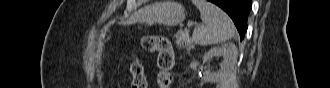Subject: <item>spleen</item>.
<instances>
[{
    "label": "spleen",
    "mask_w": 330,
    "mask_h": 88,
    "mask_svg": "<svg viewBox=\"0 0 330 88\" xmlns=\"http://www.w3.org/2000/svg\"><path fill=\"white\" fill-rule=\"evenodd\" d=\"M199 9L205 26L196 27L193 40L199 45H213L225 42L235 36V26L230 17L218 6L206 0H193Z\"/></svg>",
    "instance_id": "1"
}]
</instances>
